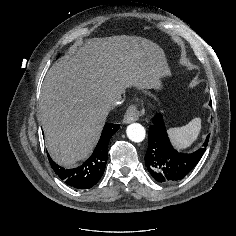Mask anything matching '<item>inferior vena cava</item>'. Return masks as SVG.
I'll use <instances>...</instances> for the list:
<instances>
[{"label": "inferior vena cava", "instance_id": "602c4592", "mask_svg": "<svg viewBox=\"0 0 236 236\" xmlns=\"http://www.w3.org/2000/svg\"><path fill=\"white\" fill-rule=\"evenodd\" d=\"M123 102L122 96H118L113 102H112V106H117L119 104H121Z\"/></svg>", "mask_w": 236, "mask_h": 236}]
</instances>
